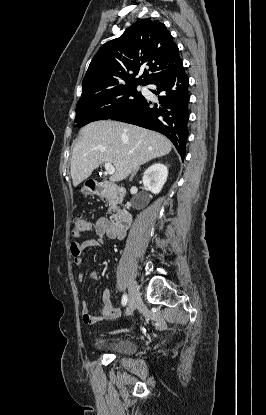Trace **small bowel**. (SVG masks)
Listing matches in <instances>:
<instances>
[{
	"mask_svg": "<svg viewBox=\"0 0 266 415\" xmlns=\"http://www.w3.org/2000/svg\"><path fill=\"white\" fill-rule=\"evenodd\" d=\"M95 232L97 238L88 239L81 243L72 242L70 246L71 254L74 258V262L77 265H81L83 262L82 252L90 247H101L104 243V236H107L110 239H123L126 235L124 230H120L114 227L107 219H99L95 224ZM79 280L83 281L85 279V274H79ZM91 279H96L97 274L92 273L90 276ZM103 307L100 313L96 316L91 315L89 311V306L86 301L81 303V316L82 320L87 325L96 324L99 321L104 320H113L120 316V311L115 308L112 304L111 292L109 290H104L102 294Z\"/></svg>",
	"mask_w": 266,
	"mask_h": 415,
	"instance_id": "obj_1",
	"label": "small bowel"
}]
</instances>
